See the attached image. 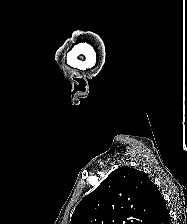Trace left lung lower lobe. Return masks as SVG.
<instances>
[{
  "instance_id": "obj_1",
  "label": "left lung lower lobe",
  "mask_w": 187,
  "mask_h": 224,
  "mask_svg": "<svg viewBox=\"0 0 187 224\" xmlns=\"http://www.w3.org/2000/svg\"><path fill=\"white\" fill-rule=\"evenodd\" d=\"M170 220V214L166 207L165 200L163 199L159 210L149 224H170Z\"/></svg>"
}]
</instances>
